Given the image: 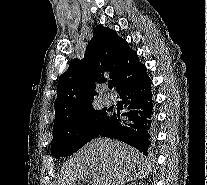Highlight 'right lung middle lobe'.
Segmentation results:
<instances>
[{"instance_id": "1", "label": "right lung middle lobe", "mask_w": 207, "mask_h": 185, "mask_svg": "<svg viewBox=\"0 0 207 185\" xmlns=\"http://www.w3.org/2000/svg\"><path fill=\"white\" fill-rule=\"evenodd\" d=\"M113 119L111 109L92 110L53 128L51 153L55 158L69 156L99 135Z\"/></svg>"}]
</instances>
